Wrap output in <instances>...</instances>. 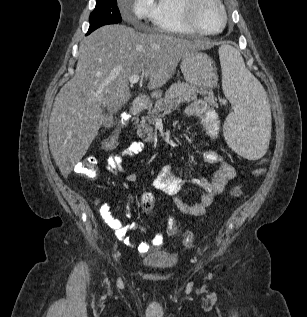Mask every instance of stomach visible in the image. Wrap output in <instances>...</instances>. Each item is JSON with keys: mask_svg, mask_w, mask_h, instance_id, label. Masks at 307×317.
Returning <instances> with one entry per match:
<instances>
[{"mask_svg": "<svg viewBox=\"0 0 307 317\" xmlns=\"http://www.w3.org/2000/svg\"><path fill=\"white\" fill-rule=\"evenodd\" d=\"M180 68L185 80L192 85L212 88L216 83L213 60L205 53L189 51L182 57Z\"/></svg>", "mask_w": 307, "mask_h": 317, "instance_id": "obj_1", "label": "stomach"}]
</instances>
